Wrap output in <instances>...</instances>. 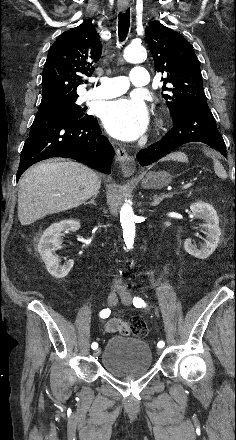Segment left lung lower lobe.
Returning <instances> with one entry per match:
<instances>
[{
    "label": "left lung lower lobe",
    "instance_id": "1",
    "mask_svg": "<svg viewBox=\"0 0 236 440\" xmlns=\"http://www.w3.org/2000/svg\"><path fill=\"white\" fill-rule=\"evenodd\" d=\"M189 142H203L223 155L226 153V145L207 102L190 105L160 141L140 150L136 157L141 166H148Z\"/></svg>",
    "mask_w": 236,
    "mask_h": 440
}]
</instances>
